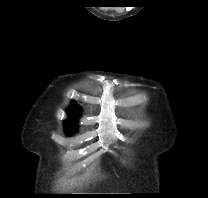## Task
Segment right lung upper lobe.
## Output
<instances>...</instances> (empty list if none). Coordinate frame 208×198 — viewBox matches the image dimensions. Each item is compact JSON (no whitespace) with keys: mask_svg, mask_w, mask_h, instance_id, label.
<instances>
[{"mask_svg":"<svg viewBox=\"0 0 208 198\" xmlns=\"http://www.w3.org/2000/svg\"><path fill=\"white\" fill-rule=\"evenodd\" d=\"M74 105H72L68 109V115L70 116L71 120H68L69 122H73L76 118L80 116L81 109L78 105H76V102H73Z\"/></svg>","mask_w":208,"mask_h":198,"instance_id":"right-lung-upper-lobe-1","label":"right lung upper lobe"}]
</instances>
